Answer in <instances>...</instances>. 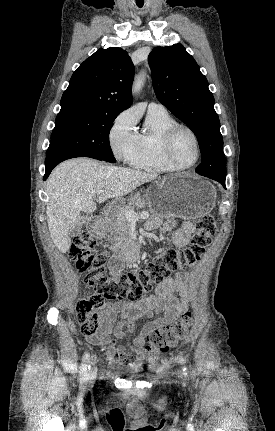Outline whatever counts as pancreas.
Instances as JSON below:
<instances>
[{"mask_svg":"<svg viewBox=\"0 0 275 431\" xmlns=\"http://www.w3.org/2000/svg\"><path fill=\"white\" fill-rule=\"evenodd\" d=\"M146 204V200L141 198V194L136 193L130 197L127 205H122L114 211L108 226L110 235L107 241L110 243V250L117 251L131 242L129 236L130 223L125 217V212L134 210L136 207H144Z\"/></svg>","mask_w":275,"mask_h":431,"instance_id":"cf45deb5","label":"pancreas"}]
</instances>
